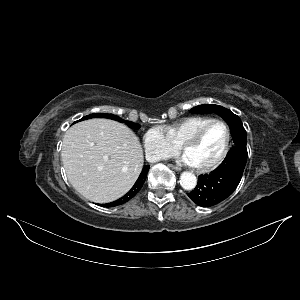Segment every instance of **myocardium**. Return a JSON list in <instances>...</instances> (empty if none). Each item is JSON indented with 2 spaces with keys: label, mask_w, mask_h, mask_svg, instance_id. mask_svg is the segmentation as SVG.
Here are the masks:
<instances>
[{
  "label": "myocardium",
  "mask_w": 300,
  "mask_h": 300,
  "mask_svg": "<svg viewBox=\"0 0 300 300\" xmlns=\"http://www.w3.org/2000/svg\"><path fill=\"white\" fill-rule=\"evenodd\" d=\"M215 124L223 125L226 129L227 137H226V143H225L224 149H223L222 153L220 154V156L213 162L206 164V165H192L197 171L208 172L210 170H213L216 167H218L226 159V157L229 153V150H230V145H231V130H230L229 125L223 120L213 119L210 122L203 125L202 127H200L197 131H195L181 146L182 152L185 153L187 151V149L196 145L202 139L205 132L212 125H215Z\"/></svg>",
  "instance_id": "obj_1"
}]
</instances>
